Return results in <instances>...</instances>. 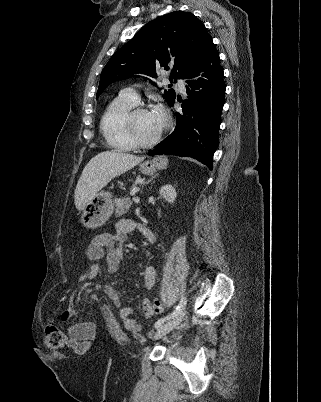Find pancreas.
I'll return each instance as SVG.
<instances>
[{"label":"pancreas","instance_id":"1","mask_svg":"<svg viewBox=\"0 0 321 402\" xmlns=\"http://www.w3.org/2000/svg\"><path fill=\"white\" fill-rule=\"evenodd\" d=\"M115 216L120 217L128 212L132 205V201L129 197H124L122 199H115Z\"/></svg>","mask_w":321,"mask_h":402}]
</instances>
